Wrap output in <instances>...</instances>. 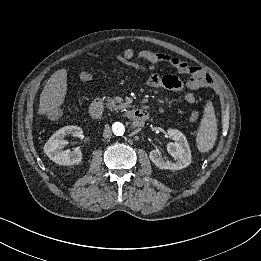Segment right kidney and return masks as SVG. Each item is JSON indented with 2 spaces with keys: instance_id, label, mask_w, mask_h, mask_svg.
I'll return each mask as SVG.
<instances>
[{
  "instance_id": "obj_1",
  "label": "right kidney",
  "mask_w": 261,
  "mask_h": 261,
  "mask_svg": "<svg viewBox=\"0 0 261 261\" xmlns=\"http://www.w3.org/2000/svg\"><path fill=\"white\" fill-rule=\"evenodd\" d=\"M83 131L78 126H65L56 131L44 145V152L53 162L59 165H73L79 164L82 160V153L80 149L62 150L67 141L64 137L72 135L73 137H81Z\"/></svg>"
}]
</instances>
